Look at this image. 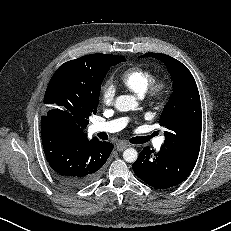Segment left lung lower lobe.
Here are the masks:
<instances>
[{"mask_svg":"<svg viewBox=\"0 0 231 231\" xmlns=\"http://www.w3.org/2000/svg\"><path fill=\"white\" fill-rule=\"evenodd\" d=\"M198 156L171 151L163 146L158 153L144 147L133 163L134 173L156 189L177 186L192 172Z\"/></svg>","mask_w":231,"mask_h":231,"instance_id":"0a47b994","label":"left lung lower lobe"}]
</instances>
